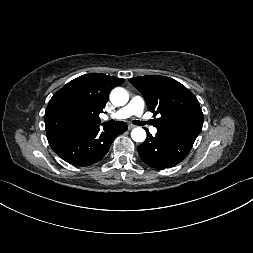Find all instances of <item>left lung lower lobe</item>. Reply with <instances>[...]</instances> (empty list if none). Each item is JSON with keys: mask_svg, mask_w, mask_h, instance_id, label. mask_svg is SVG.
Instances as JSON below:
<instances>
[{"mask_svg": "<svg viewBox=\"0 0 253 253\" xmlns=\"http://www.w3.org/2000/svg\"><path fill=\"white\" fill-rule=\"evenodd\" d=\"M194 139L157 132H147L145 142L137 147L141 159L149 166L163 170L180 163L190 152Z\"/></svg>", "mask_w": 253, "mask_h": 253, "instance_id": "left-lung-lower-lobe-1", "label": "left lung lower lobe"}]
</instances>
